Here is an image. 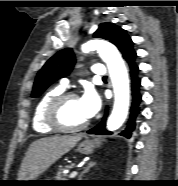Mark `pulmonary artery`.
I'll return each mask as SVG.
<instances>
[{"mask_svg": "<svg viewBox=\"0 0 178 186\" xmlns=\"http://www.w3.org/2000/svg\"><path fill=\"white\" fill-rule=\"evenodd\" d=\"M91 71L95 76H104L106 73V69L102 64H94L91 66ZM68 86V80L63 79L61 81V87L66 88Z\"/></svg>", "mask_w": 178, "mask_h": 186, "instance_id": "e3ab8cb5", "label": "pulmonary artery"}]
</instances>
